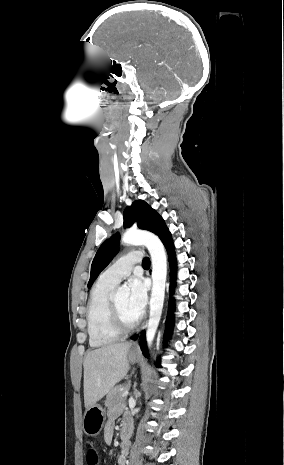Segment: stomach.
<instances>
[{
	"mask_svg": "<svg viewBox=\"0 0 284 465\" xmlns=\"http://www.w3.org/2000/svg\"><path fill=\"white\" fill-rule=\"evenodd\" d=\"M138 357L139 355L136 351H130L128 355L130 363H136ZM105 419V411L100 405H94V407L86 409L82 425L84 433H86L88 437H97L104 427Z\"/></svg>",
	"mask_w": 284,
	"mask_h": 465,
	"instance_id": "1",
	"label": "stomach"
}]
</instances>
